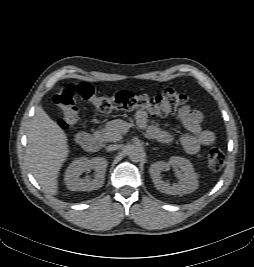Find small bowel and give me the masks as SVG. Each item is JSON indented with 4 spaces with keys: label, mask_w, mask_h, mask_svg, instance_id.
<instances>
[{
    "label": "small bowel",
    "mask_w": 254,
    "mask_h": 267,
    "mask_svg": "<svg viewBox=\"0 0 254 267\" xmlns=\"http://www.w3.org/2000/svg\"><path fill=\"white\" fill-rule=\"evenodd\" d=\"M176 118L188 131L180 137V142L189 154H197L201 146H209L215 141V134L203 129V115L200 111L186 105L183 106L177 113ZM137 120L142 126H146L147 135L160 142L169 143L173 136L156 125H147V115L144 112L137 113Z\"/></svg>",
    "instance_id": "obj_1"
}]
</instances>
